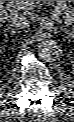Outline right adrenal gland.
<instances>
[{"mask_svg": "<svg viewBox=\"0 0 74 122\" xmlns=\"http://www.w3.org/2000/svg\"><path fill=\"white\" fill-rule=\"evenodd\" d=\"M6 31H10L11 33H18V31L14 30V29L11 28V27H8V28L6 29Z\"/></svg>", "mask_w": 74, "mask_h": 122, "instance_id": "2a0ac1e0", "label": "right adrenal gland"}]
</instances>
